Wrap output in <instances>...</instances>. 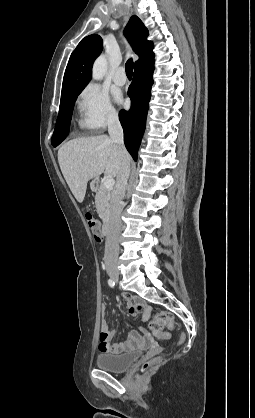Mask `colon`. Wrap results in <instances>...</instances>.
Masks as SVG:
<instances>
[{"mask_svg":"<svg viewBox=\"0 0 255 418\" xmlns=\"http://www.w3.org/2000/svg\"><path fill=\"white\" fill-rule=\"evenodd\" d=\"M85 217H86L87 224H88V226H89V228H90V230L93 234L94 239L97 242H100L102 240V233H101L100 224L98 223L97 219L89 212L86 213ZM149 327H150V330L152 331V333L155 336H157L159 338H166L167 333L165 332V328H167L169 330H173L175 328L174 317L169 312L157 313L156 315H154L151 318V320L149 322ZM183 340H184V335H182L180 337L179 343H182ZM156 360H157V358L145 361L141 365V369L146 370Z\"/></svg>","mask_w":255,"mask_h":418,"instance_id":"obj_1","label":"colon"}]
</instances>
